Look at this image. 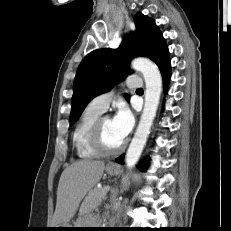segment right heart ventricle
Masks as SVG:
<instances>
[{
    "mask_svg": "<svg viewBox=\"0 0 231 231\" xmlns=\"http://www.w3.org/2000/svg\"><path fill=\"white\" fill-rule=\"evenodd\" d=\"M102 114L101 111L90 105L84 110L73 131V145L76 154L84 160L95 159L100 156L91 145L90 133L93 125Z\"/></svg>",
    "mask_w": 231,
    "mask_h": 231,
    "instance_id": "e07e8e85",
    "label": "right heart ventricle"
}]
</instances>
